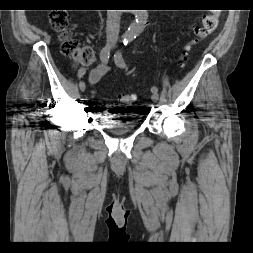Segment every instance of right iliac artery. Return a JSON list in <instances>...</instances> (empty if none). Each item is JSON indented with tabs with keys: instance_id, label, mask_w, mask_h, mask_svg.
<instances>
[{
	"instance_id": "1",
	"label": "right iliac artery",
	"mask_w": 253,
	"mask_h": 253,
	"mask_svg": "<svg viewBox=\"0 0 253 253\" xmlns=\"http://www.w3.org/2000/svg\"><path fill=\"white\" fill-rule=\"evenodd\" d=\"M112 44H107L104 46L100 52V60L103 64H107L109 57H110V52H111ZM86 74V68L82 67L81 70L78 71L77 74V80H80V78H84Z\"/></svg>"
}]
</instances>
